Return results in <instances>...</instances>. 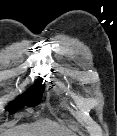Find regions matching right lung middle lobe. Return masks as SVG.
Here are the masks:
<instances>
[{"label": "right lung middle lobe", "instance_id": "obj_1", "mask_svg": "<svg viewBox=\"0 0 117 136\" xmlns=\"http://www.w3.org/2000/svg\"><path fill=\"white\" fill-rule=\"evenodd\" d=\"M44 85H42V80H38L37 83L24 95L17 98V100L11 102L7 109L11 114L15 113L20 107L23 106H35L43 93Z\"/></svg>", "mask_w": 117, "mask_h": 136}]
</instances>
